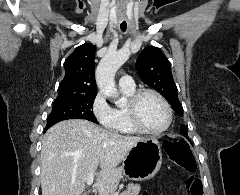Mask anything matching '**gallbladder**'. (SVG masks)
<instances>
[{
	"label": "gallbladder",
	"mask_w": 240,
	"mask_h": 195,
	"mask_svg": "<svg viewBox=\"0 0 240 195\" xmlns=\"http://www.w3.org/2000/svg\"><path fill=\"white\" fill-rule=\"evenodd\" d=\"M91 194V191L90 190H85L83 195H90Z\"/></svg>",
	"instance_id": "obj_1"
}]
</instances>
